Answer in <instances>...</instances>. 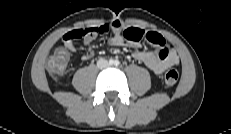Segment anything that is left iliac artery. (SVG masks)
<instances>
[{
  "label": "left iliac artery",
  "instance_id": "1",
  "mask_svg": "<svg viewBox=\"0 0 231 134\" xmlns=\"http://www.w3.org/2000/svg\"><path fill=\"white\" fill-rule=\"evenodd\" d=\"M114 64H115L116 66H118V65L120 64V62H119L118 60H115Z\"/></svg>",
  "mask_w": 231,
  "mask_h": 134
}]
</instances>
